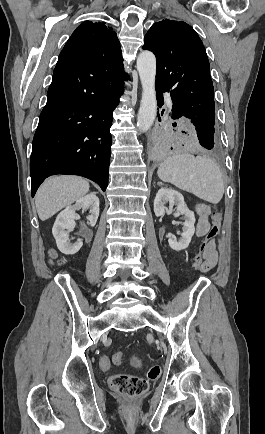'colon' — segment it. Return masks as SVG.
<instances>
[{"mask_svg":"<svg viewBox=\"0 0 265 434\" xmlns=\"http://www.w3.org/2000/svg\"><path fill=\"white\" fill-rule=\"evenodd\" d=\"M222 221V212L217 210L214 212L211 220V228L208 233L205 235L204 240L201 245L200 251L195 255L193 268L200 269V261H203L204 258V247L207 246L208 240H213L217 237L220 230V225ZM122 354L116 353L113 355L114 363L122 362ZM99 366L103 370H108L111 366V362L106 357H101L99 360ZM162 375V369L159 366H151L147 370L146 379L144 380L142 376L132 374V373H120L115 374L109 379L110 386L115 390L122 394L126 395H141L148 391L149 384L148 380H156L159 379Z\"/></svg>","mask_w":265,"mask_h":434,"instance_id":"colon-1","label":"colon"}]
</instances>
